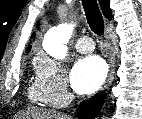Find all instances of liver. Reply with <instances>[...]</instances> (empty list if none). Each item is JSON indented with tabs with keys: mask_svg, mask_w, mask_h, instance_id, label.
Segmentation results:
<instances>
[{
	"mask_svg": "<svg viewBox=\"0 0 142 119\" xmlns=\"http://www.w3.org/2000/svg\"><path fill=\"white\" fill-rule=\"evenodd\" d=\"M21 119H71L66 114H60L47 110L29 109L26 113L19 116Z\"/></svg>",
	"mask_w": 142,
	"mask_h": 119,
	"instance_id": "6515ba94",
	"label": "liver"
}]
</instances>
